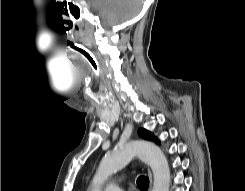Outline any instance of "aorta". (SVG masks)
Here are the masks:
<instances>
[{"label": "aorta", "instance_id": "obj_1", "mask_svg": "<svg viewBox=\"0 0 245 191\" xmlns=\"http://www.w3.org/2000/svg\"><path fill=\"white\" fill-rule=\"evenodd\" d=\"M138 156L147 163L154 175L153 191H169L170 168L159 147L147 141H131L104 156L93 179L91 191H101L109 176L125 167L133 157Z\"/></svg>", "mask_w": 245, "mask_h": 191}]
</instances>
